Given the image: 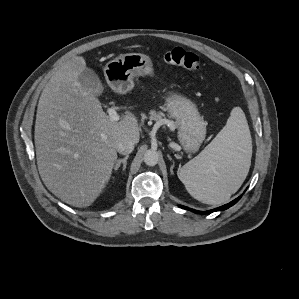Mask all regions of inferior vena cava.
<instances>
[{"mask_svg":"<svg viewBox=\"0 0 299 299\" xmlns=\"http://www.w3.org/2000/svg\"><path fill=\"white\" fill-rule=\"evenodd\" d=\"M134 144L131 140L123 139L117 144V151L120 154L128 155L134 150Z\"/></svg>","mask_w":299,"mask_h":299,"instance_id":"602c4592","label":"inferior vena cava"}]
</instances>
